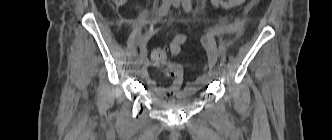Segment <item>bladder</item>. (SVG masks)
I'll use <instances>...</instances> for the list:
<instances>
[{
	"label": "bladder",
	"mask_w": 332,
	"mask_h": 140,
	"mask_svg": "<svg viewBox=\"0 0 332 140\" xmlns=\"http://www.w3.org/2000/svg\"><path fill=\"white\" fill-rule=\"evenodd\" d=\"M151 99L154 103H156L157 105L164 107V108L183 109V108L188 107L190 104H192L194 102L195 95L192 93V94L186 95L183 98L172 99V100H163V99H159L156 97H152Z\"/></svg>",
	"instance_id": "obj_1"
}]
</instances>
